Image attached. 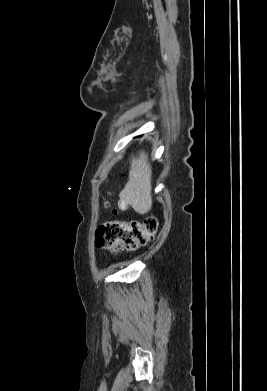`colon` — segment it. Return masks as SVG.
I'll return each instance as SVG.
<instances>
[{"label": "colon", "mask_w": 267, "mask_h": 391, "mask_svg": "<svg viewBox=\"0 0 267 391\" xmlns=\"http://www.w3.org/2000/svg\"><path fill=\"white\" fill-rule=\"evenodd\" d=\"M158 230L154 217L128 222L108 221L96 231V245L113 251H132L150 241Z\"/></svg>", "instance_id": "obj_1"}]
</instances>
